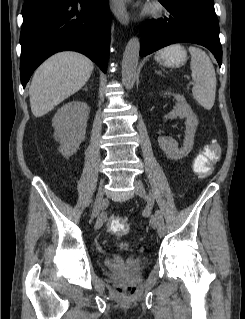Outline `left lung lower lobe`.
Masks as SVG:
<instances>
[{
	"mask_svg": "<svg viewBox=\"0 0 245 319\" xmlns=\"http://www.w3.org/2000/svg\"><path fill=\"white\" fill-rule=\"evenodd\" d=\"M159 1L171 16L168 19H152L143 24L140 56L170 44L188 42L208 48L221 66L222 48L215 11L188 1Z\"/></svg>",
	"mask_w": 245,
	"mask_h": 319,
	"instance_id": "left-lung-lower-lobe-1",
	"label": "left lung lower lobe"
}]
</instances>
